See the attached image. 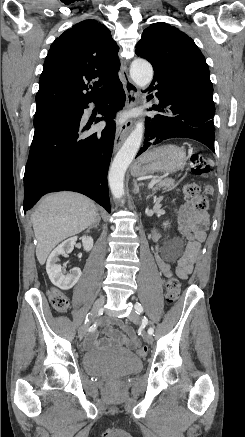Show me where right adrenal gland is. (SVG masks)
Segmentation results:
<instances>
[{
    "mask_svg": "<svg viewBox=\"0 0 245 437\" xmlns=\"http://www.w3.org/2000/svg\"><path fill=\"white\" fill-rule=\"evenodd\" d=\"M100 220H101V217H100V215L98 214L96 221L94 222L93 225H91V226L89 227L88 230H90L91 228L97 227V226L99 225V223H100Z\"/></svg>",
    "mask_w": 245,
    "mask_h": 437,
    "instance_id": "obj_1",
    "label": "right adrenal gland"
}]
</instances>
